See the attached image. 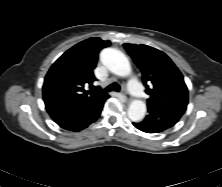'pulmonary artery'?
Masks as SVG:
<instances>
[{
  "label": "pulmonary artery",
  "instance_id": "1",
  "mask_svg": "<svg viewBox=\"0 0 222 187\" xmlns=\"http://www.w3.org/2000/svg\"><path fill=\"white\" fill-rule=\"evenodd\" d=\"M129 91L136 98L145 97V94L142 90V87H141V85L139 84V82L137 81L136 78L131 79V81L129 83Z\"/></svg>",
  "mask_w": 222,
  "mask_h": 187
}]
</instances>
